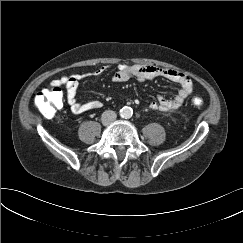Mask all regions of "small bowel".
<instances>
[{
	"instance_id": "obj_1",
	"label": "small bowel",
	"mask_w": 243,
	"mask_h": 243,
	"mask_svg": "<svg viewBox=\"0 0 243 243\" xmlns=\"http://www.w3.org/2000/svg\"><path fill=\"white\" fill-rule=\"evenodd\" d=\"M102 72V69H98L90 73L63 76L53 80L51 87L64 86L66 88L67 103L74 114H82L91 110L100 109L103 106L100 100L93 99L86 102H79L77 100V87L82 79L86 77L98 78ZM157 77L175 82L179 84L180 88L172 98L159 95L156 100L150 103V108L153 110L170 111L178 109L193 92L192 80L186 73L154 65L119 63L116 66V72L112 77V81L122 83L135 78L143 82Z\"/></svg>"
}]
</instances>
